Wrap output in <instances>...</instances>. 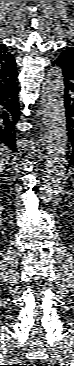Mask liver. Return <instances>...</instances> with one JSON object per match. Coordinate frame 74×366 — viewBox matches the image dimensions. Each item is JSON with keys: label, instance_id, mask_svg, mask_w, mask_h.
<instances>
[{"label": "liver", "instance_id": "liver-1", "mask_svg": "<svg viewBox=\"0 0 74 366\" xmlns=\"http://www.w3.org/2000/svg\"><path fill=\"white\" fill-rule=\"evenodd\" d=\"M11 155H12L11 150L7 146L1 144L0 145V169H2L3 167H5L8 164Z\"/></svg>", "mask_w": 74, "mask_h": 366}]
</instances>
